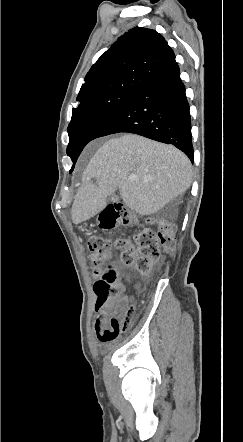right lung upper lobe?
Wrapping results in <instances>:
<instances>
[{
	"mask_svg": "<svg viewBox=\"0 0 243 442\" xmlns=\"http://www.w3.org/2000/svg\"><path fill=\"white\" fill-rule=\"evenodd\" d=\"M175 61V54L155 30L135 27L120 36L91 67L77 96L80 104L117 90L138 86Z\"/></svg>",
	"mask_w": 243,
	"mask_h": 442,
	"instance_id": "1",
	"label": "right lung upper lobe"
}]
</instances>
